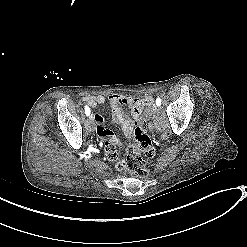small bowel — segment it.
<instances>
[{
  "mask_svg": "<svg viewBox=\"0 0 247 247\" xmlns=\"http://www.w3.org/2000/svg\"><path fill=\"white\" fill-rule=\"evenodd\" d=\"M85 105L90 107H95L97 105L107 104L112 111V118L115 123H117L124 135L129 137L133 132V123L130 120L128 114L124 112L122 106L125 104V109L137 115L141 112L143 107L150 106L154 99L152 97H145L143 99L137 98H122L119 95H111L109 97H105L103 95L96 96H85L82 98ZM93 122L98 126L99 129L96 130L95 135L99 139H103L108 142V146L106 147V152L108 159L110 160V165L114 171H119L121 169V162L117 158V154L115 151V147L119 146L121 143L120 138L111 131H108L106 128L108 123L106 119L97 114L93 118Z\"/></svg>",
  "mask_w": 247,
  "mask_h": 247,
  "instance_id": "small-bowel-1",
  "label": "small bowel"
}]
</instances>
